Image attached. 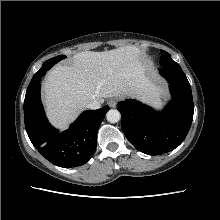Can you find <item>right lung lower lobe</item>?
Instances as JSON below:
<instances>
[{
    "mask_svg": "<svg viewBox=\"0 0 220 220\" xmlns=\"http://www.w3.org/2000/svg\"><path fill=\"white\" fill-rule=\"evenodd\" d=\"M55 63L46 61L34 78V86L26 92L25 127L34 147L48 161L64 168L80 166L88 162L95 152L97 131L109 106L83 112L64 132L53 128L41 104L39 82Z\"/></svg>",
    "mask_w": 220,
    "mask_h": 220,
    "instance_id": "1",
    "label": "right lung lower lobe"
}]
</instances>
